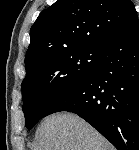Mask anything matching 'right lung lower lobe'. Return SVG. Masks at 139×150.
Instances as JSON below:
<instances>
[{
  "label": "right lung lower lobe",
  "instance_id": "98d812e1",
  "mask_svg": "<svg viewBox=\"0 0 139 150\" xmlns=\"http://www.w3.org/2000/svg\"><path fill=\"white\" fill-rule=\"evenodd\" d=\"M76 113L118 150H139V20L112 38L91 72L46 112ZM44 116V117H45Z\"/></svg>",
  "mask_w": 139,
  "mask_h": 150
}]
</instances>
